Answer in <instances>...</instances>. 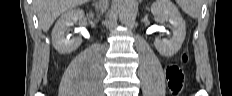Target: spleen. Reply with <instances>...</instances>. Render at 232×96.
I'll return each instance as SVG.
<instances>
[{"mask_svg":"<svg viewBox=\"0 0 232 96\" xmlns=\"http://www.w3.org/2000/svg\"><path fill=\"white\" fill-rule=\"evenodd\" d=\"M181 9L190 17L196 19L201 15V0H176Z\"/></svg>","mask_w":232,"mask_h":96,"instance_id":"3e777b00","label":"spleen"}]
</instances>
